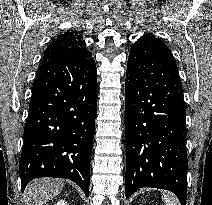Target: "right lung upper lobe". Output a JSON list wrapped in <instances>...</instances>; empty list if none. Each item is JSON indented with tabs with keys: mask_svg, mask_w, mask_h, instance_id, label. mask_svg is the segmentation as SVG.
Instances as JSON below:
<instances>
[{
	"mask_svg": "<svg viewBox=\"0 0 212 205\" xmlns=\"http://www.w3.org/2000/svg\"><path fill=\"white\" fill-rule=\"evenodd\" d=\"M82 39V35L76 31H67L58 35L46 48L42 62L69 57H92Z\"/></svg>",
	"mask_w": 212,
	"mask_h": 205,
	"instance_id": "obj_1",
	"label": "right lung upper lobe"
}]
</instances>
